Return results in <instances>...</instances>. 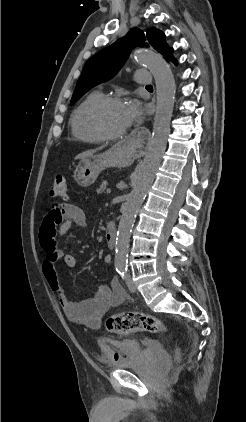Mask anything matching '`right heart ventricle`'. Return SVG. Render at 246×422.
I'll use <instances>...</instances> for the list:
<instances>
[{"instance_id": "right-heart-ventricle-1", "label": "right heart ventricle", "mask_w": 246, "mask_h": 422, "mask_svg": "<svg viewBox=\"0 0 246 422\" xmlns=\"http://www.w3.org/2000/svg\"><path fill=\"white\" fill-rule=\"evenodd\" d=\"M104 94L99 91L89 93L75 108L71 115V130L73 136L83 142L100 143L104 139L96 132L90 121V111Z\"/></svg>"}]
</instances>
